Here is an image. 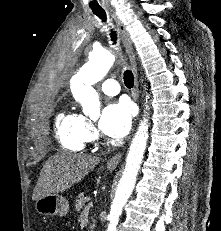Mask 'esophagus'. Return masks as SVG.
<instances>
[{
	"label": "esophagus",
	"mask_w": 221,
	"mask_h": 231,
	"mask_svg": "<svg viewBox=\"0 0 221 231\" xmlns=\"http://www.w3.org/2000/svg\"><path fill=\"white\" fill-rule=\"evenodd\" d=\"M112 17L116 23V26H117L118 32L120 34L121 40L125 46L126 52H127L129 59H130V63H131L132 71H133V75H134L133 97L135 100H138V97H139L138 73H137L136 59H135V54L133 51L132 42H131L129 33H128L125 25L123 24L122 20L114 12L112 13ZM122 155H123L122 152L115 154L113 157H111L108 160L107 165L110 167H116L119 164Z\"/></svg>",
	"instance_id": "1"
}]
</instances>
